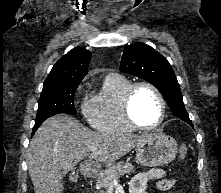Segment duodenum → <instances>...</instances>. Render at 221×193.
<instances>
[{"label":"duodenum","mask_w":221,"mask_h":193,"mask_svg":"<svg viewBox=\"0 0 221 193\" xmlns=\"http://www.w3.org/2000/svg\"><path fill=\"white\" fill-rule=\"evenodd\" d=\"M82 172L85 176H91L92 175V166L89 163H83L81 166Z\"/></svg>","instance_id":"1"}]
</instances>
